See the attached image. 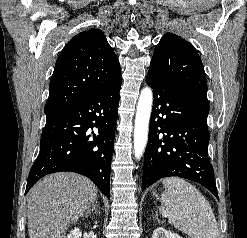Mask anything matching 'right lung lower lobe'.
<instances>
[{
	"mask_svg": "<svg viewBox=\"0 0 247 238\" xmlns=\"http://www.w3.org/2000/svg\"><path fill=\"white\" fill-rule=\"evenodd\" d=\"M121 77L80 103L46 119L40 152L25 194L43 176L72 171L90 178L110 197V166Z\"/></svg>",
	"mask_w": 247,
	"mask_h": 238,
	"instance_id": "obj_1",
	"label": "right lung lower lobe"
}]
</instances>
